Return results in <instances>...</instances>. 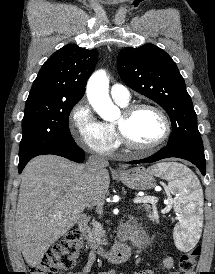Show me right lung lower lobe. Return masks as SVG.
Instances as JSON below:
<instances>
[{"label": "right lung lower lobe", "mask_w": 215, "mask_h": 274, "mask_svg": "<svg viewBox=\"0 0 215 274\" xmlns=\"http://www.w3.org/2000/svg\"><path fill=\"white\" fill-rule=\"evenodd\" d=\"M44 154H53V155H58V156H62L65 157L69 160L81 163L84 160V151L76 145L73 146H69V147H61V148H56V149H52L47 151ZM32 159V158H31ZM30 159L28 160H19V166H18V171L19 173L22 172L23 168L25 167V165L28 163Z\"/></svg>", "instance_id": "98d812e1"}]
</instances>
